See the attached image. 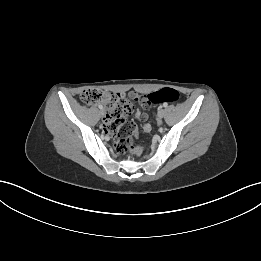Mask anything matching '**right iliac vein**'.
Segmentation results:
<instances>
[{
  "mask_svg": "<svg viewBox=\"0 0 261 261\" xmlns=\"http://www.w3.org/2000/svg\"><path fill=\"white\" fill-rule=\"evenodd\" d=\"M100 113H101V115H104V110L102 109V110L100 111Z\"/></svg>",
  "mask_w": 261,
  "mask_h": 261,
  "instance_id": "right-iliac-vein-1",
  "label": "right iliac vein"
}]
</instances>
